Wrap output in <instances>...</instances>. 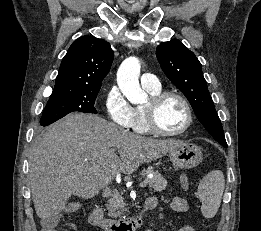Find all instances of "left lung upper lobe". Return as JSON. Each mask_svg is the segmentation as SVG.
Masks as SVG:
<instances>
[{"label":"left lung upper lobe","mask_w":261,"mask_h":231,"mask_svg":"<svg viewBox=\"0 0 261 231\" xmlns=\"http://www.w3.org/2000/svg\"><path fill=\"white\" fill-rule=\"evenodd\" d=\"M156 56L166 76L187 97L205 129L220 144H226L221 121L195 54L179 40H171L157 47Z\"/></svg>","instance_id":"obj_1"}]
</instances>
